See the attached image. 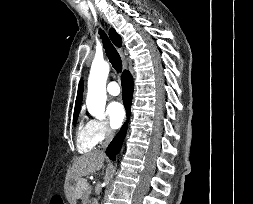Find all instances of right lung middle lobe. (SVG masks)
I'll return each instance as SVG.
<instances>
[{"mask_svg":"<svg viewBox=\"0 0 253 204\" xmlns=\"http://www.w3.org/2000/svg\"><path fill=\"white\" fill-rule=\"evenodd\" d=\"M77 117H78V115H74V117H73V123H74V125L76 124Z\"/></svg>","mask_w":253,"mask_h":204,"instance_id":"right-lung-middle-lobe-1","label":"right lung middle lobe"}]
</instances>
